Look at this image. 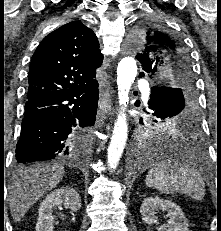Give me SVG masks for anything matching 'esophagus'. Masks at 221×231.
Listing matches in <instances>:
<instances>
[{
	"label": "esophagus",
	"instance_id": "1",
	"mask_svg": "<svg viewBox=\"0 0 221 231\" xmlns=\"http://www.w3.org/2000/svg\"><path fill=\"white\" fill-rule=\"evenodd\" d=\"M112 93L113 90L109 84L108 89L106 90V92H103L102 94V98L100 101V118L101 120H106L109 116L112 115Z\"/></svg>",
	"mask_w": 221,
	"mask_h": 231
}]
</instances>
